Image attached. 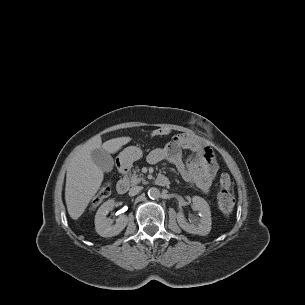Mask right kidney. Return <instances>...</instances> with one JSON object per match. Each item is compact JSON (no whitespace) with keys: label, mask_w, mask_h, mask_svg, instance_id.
Segmentation results:
<instances>
[{"label":"right kidney","mask_w":305,"mask_h":305,"mask_svg":"<svg viewBox=\"0 0 305 305\" xmlns=\"http://www.w3.org/2000/svg\"><path fill=\"white\" fill-rule=\"evenodd\" d=\"M114 205L115 201L109 199L99 207L95 215V229L102 237H112L120 234L128 223V217L124 214L116 219L115 224L107 218V214L113 210Z\"/></svg>","instance_id":"ca27d5eb"}]
</instances>
